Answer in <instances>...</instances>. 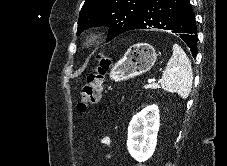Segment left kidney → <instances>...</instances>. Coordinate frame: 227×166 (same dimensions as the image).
I'll return each mask as SVG.
<instances>
[{
  "instance_id": "1",
  "label": "left kidney",
  "mask_w": 227,
  "mask_h": 166,
  "mask_svg": "<svg viewBox=\"0 0 227 166\" xmlns=\"http://www.w3.org/2000/svg\"><path fill=\"white\" fill-rule=\"evenodd\" d=\"M159 127L157 105L147 106L133 116L128 127L127 148L136 161L145 162L153 155Z\"/></svg>"
}]
</instances>
